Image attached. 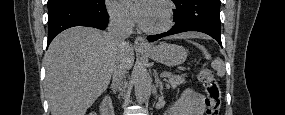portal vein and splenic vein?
Listing matches in <instances>:
<instances>
[{"instance_id":"portal-vein-and-splenic-vein-1","label":"portal vein and splenic vein","mask_w":285,"mask_h":115,"mask_svg":"<svg viewBox=\"0 0 285 115\" xmlns=\"http://www.w3.org/2000/svg\"><path fill=\"white\" fill-rule=\"evenodd\" d=\"M170 75H171V73L167 72V71H165V72L160 74L161 77H167V76H170Z\"/></svg>"}]
</instances>
